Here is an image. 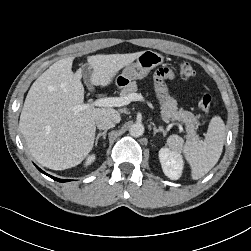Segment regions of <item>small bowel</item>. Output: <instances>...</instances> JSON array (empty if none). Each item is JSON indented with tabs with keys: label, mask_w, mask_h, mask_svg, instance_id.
<instances>
[{
	"label": "small bowel",
	"mask_w": 251,
	"mask_h": 251,
	"mask_svg": "<svg viewBox=\"0 0 251 251\" xmlns=\"http://www.w3.org/2000/svg\"><path fill=\"white\" fill-rule=\"evenodd\" d=\"M173 73L167 69H160L155 75V89L159 97L164 98L166 96V80H172Z\"/></svg>",
	"instance_id": "small-bowel-1"
}]
</instances>
